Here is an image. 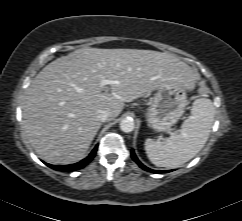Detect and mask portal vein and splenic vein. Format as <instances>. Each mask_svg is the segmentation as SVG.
<instances>
[{"instance_id":"portal-vein-and-splenic-vein-1","label":"portal vein and splenic vein","mask_w":242,"mask_h":221,"mask_svg":"<svg viewBox=\"0 0 242 221\" xmlns=\"http://www.w3.org/2000/svg\"><path fill=\"white\" fill-rule=\"evenodd\" d=\"M111 83H112V81L103 79L102 82H101V85H108V84H111Z\"/></svg>"}]
</instances>
